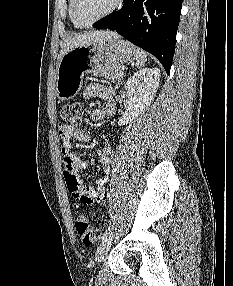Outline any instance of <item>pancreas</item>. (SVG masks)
Here are the masks:
<instances>
[{
    "label": "pancreas",
    "instance_id": "pancreas-1",
    "mask_svg": "<svg viewBox=\"0 0 233 286\" xmlns=\"http://www.w3.org/2000/svg\"><path fill=\"white\" fill-rule=\"evenodd\" d=\"M122 71V67L118 65L113 66H104L94 72L95 76H103L116 85L120 84L122 77L119 76V73Z\"/></svg>",
    "mask_w": 233,
    "mask_h": 286
}]
</instances>
